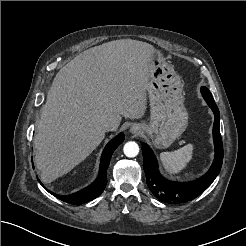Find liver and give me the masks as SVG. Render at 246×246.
I'll return each instance as SVG.
<instances>
[{"instance_id": "6515ba94", "label": "liver", "mask_w": 246, "mask_h": 246, "mask_svg": "<svg viewBox=\"0 0 246 246\" xmlns=\"http://www.w3.org/2000/svg\"><path fill=\"white\" fill-rule=\"evenodd\" d=\"M149 43L120 39L80 53L57 73L34 137L43 182L68 173L102 142V123L139 119L147 105Z\"/></svg>"}]
</instances>
